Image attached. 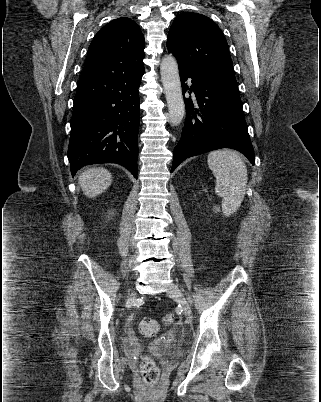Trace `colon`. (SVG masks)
Segmentation results:
<instances>
[{"instance_id": "obj_1", "label": "colon", "mask_w": 321, "mask_h": 402, "mask_svg": "<svg viewBox=\"0 0 321 402\" xmlns=\"http://www.w3.org/2000/svg\"><path fill=\"white\" fill-rule=\"evenodd\" d=\"M174 319L173 314H168L164 318V323L170 325L174 322ZM139 330L144 335H153L158 330V323L151 318L142 319L139 323ZM140 371L147 384L155 385L158 382L160 371L152 358L145 356L141 359Z\"/></svg>"}]
</instances>
